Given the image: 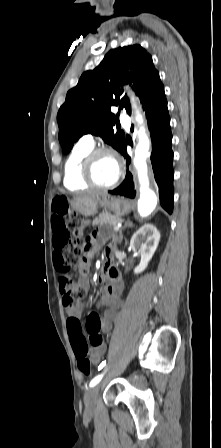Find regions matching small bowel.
Masks as SVG:
<instances>
[{"mask_svg": "<svg viewBox=\"0 0 221 448\" xmlns=\"http://www.w3.org/2000/svg\"><path fill=\"white\" fill-rule=\"evenodd\" d=\"M56 218L61 219L62 214L59 212H56L53 209L52 222ZM52 230H53V234H54L55 232L53 229V224H52ZM89 244H90V247H92V251H96L102 244V238L95 234L89 239ZM53 247H54V243H53ZM112 251H113V247L111 245L108 246L106 256L108 253H112ZM108 262L109 263L102 270L101 277L104 280H109V282L105 283L104 286L102 287L101 298H100V302H99L100 306L104 308L103 313L100 316V322H101L100 330L104 333H108L111 330L113 322L118 318L117 311L123 307V301L121 300V297H120L121 293H122V283L120 281V276H119L117 270L111 265L109 260H108ZM80 272H81L80 282L82 285L87 286L88 285L87 277H86L87 269L85 267H83ZM81 313H82L81 307H74L72 309L67 310V315H68L69 319L70 318L79 319V317L81 316ZM69 338H70L73 352L75 354V350L73 347V343H72L70 334H69ZM79 338L81 340L86 341V337L83 335V333H81L79 335ZM105 350H106V347H105L104 342L102 345H100L98 347H93L90 350V358H91L92 362L98 363L101 360L103 354L105 353Z\"/></svg>", "mask_w": 221, "mask_h": 448, "instance_id": "1", "label": "small bowel"}]
</instances>
